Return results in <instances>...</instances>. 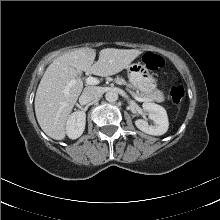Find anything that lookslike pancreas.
Instances as JSON below:
<instances>
[{
	"label": "pancreas",
	"instance_id": "pancreas-1",
	"mask_svg": "<svg viewBox=\"0 0 220 220\" xmlns=\"http://www.w3.org/2000/svg\"><path fill=\"white\" fill-rule=\"evenodd\" d=\"M115 82L119 85H123L126 83L123 78H116ZM135 94L139 97L150 99V100L157 101V102H164V100H165V98L161 92H159L157 94H153L151 96L145 95L141 92H136Z\"/></svg>",
	"mask_w": 220,
	"mask_h": 220
}]
</instances>
